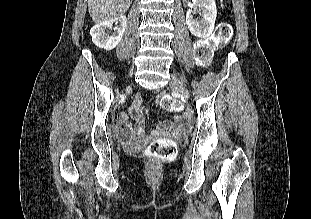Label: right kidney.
<instances>
[{
    "label": "right kidney",
    "mask_w": 311,
    "mask_h": 219,
    "mask_svg": "<svg viewBox=\"0 0 311 219\" xmlns=\"http://www.w3.org/2000/svg\"><path fill=\"white\" fill-rule=\"evenodd\" d=\"M113 24L117 25L114 28L113 34H110ZM127 25L125 16H119L96 24L90 30L93 43L102 49L112 50L121 41Z\"/></svg>",
    "instance_id": "obj_1"
}]
</instances>
